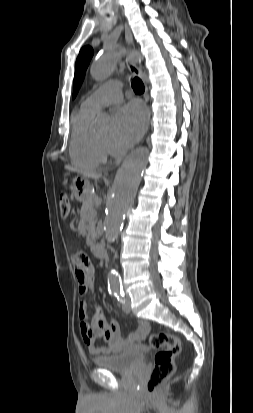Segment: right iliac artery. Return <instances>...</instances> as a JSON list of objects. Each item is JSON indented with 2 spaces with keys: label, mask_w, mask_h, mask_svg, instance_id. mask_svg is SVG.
<instances>
[{
  "label": "right iliac artery",
  "mask_w": 253,
  "mask_h": 413,
  "mask_svg": "<svg viewBox=\"0 0 253 413\" xmlns=\"http://www.w3.org/2000/svg\"><path fill=\"white\" fill-rule=\"evenodd\" d=\"M116 293H117V291H113V295L116 294Z\"/></svg>",
  "instance_id": "obj_1"
}]
</instances>
